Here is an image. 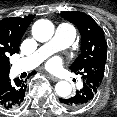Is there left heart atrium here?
Masks as SVG:
<instances>
[{
    "label": "left heart atrium",
    "mask_w": 117,
    "mask_h": 117,
    "mask_svg": "<svg viewBox=\"0 0 117 117\" xmlns=\"http://www.w3.org/2000/svg\"><path fill=\"white\" fill-rule=\"evenodd\" d=\"M60 65H61V59L58 57L51 58L47 62V68H49L51 70H55V69L59 68Z\"/></svg>",
    "instance_id": "obj_1"
}]
</instances>
